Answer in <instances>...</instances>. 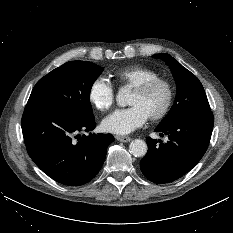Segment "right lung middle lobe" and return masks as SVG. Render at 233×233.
I'll return each instance as SVG.
<instances>
[{"instance_id":"right-lung-middle-lobe-1","label":"right lung middle lobe","mask_w":233,"mask_h":233,"mask_svg":"<svg viewBox=\"0 0 233 233\" xmlns=\"http://www.w3.org/2000/svg\"><path fill=\"white\" fill-rule=\"evenodd\" d=\"M102 71L92 62H67L37 82L27 105L52 107L93 120L90 91Z\"/></svg>"}]
</instances>
